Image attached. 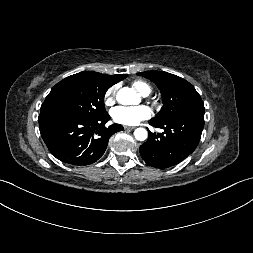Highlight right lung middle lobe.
I'll return each mask as SVG.
<instances>
[{"label": "right lung middle lobe", "mask_w": 253, "mask_h": 253, "mask_svg": "<svg viewBox=\"0 0 253 253\" xmlns=\"http://www.w3.org/2000/svg\"><path fill=\"white\" fill-rule=\"evenodd\" d=\"M113 85L104 74L85 71L57 83L41 106L40 115L69 114L96 118L104 115V95Z\"/></svg>", "instance_id": "obj_1"}]
</instances>
